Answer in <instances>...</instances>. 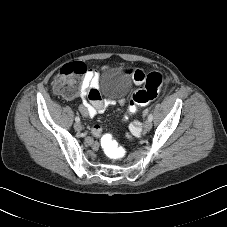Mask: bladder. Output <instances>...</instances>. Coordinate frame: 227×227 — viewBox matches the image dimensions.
Returning <instances> with one entry per match:
<instances>
[{"instance_id": "obj_1", "label": "bladder", "mask_w": 227, "mask_h": 227, "mask_svg": "<svg viewBox=\"0 0 227 227\" xmlns=\"http://www.w3.org/2000/svg\"><path fill=\"white\" fill-rule=\"evenodd\" d=\"M106 86L113 87V92L116 97L121 98L124 97L129 90V83L124 75V73H117L114 75L108 76L100 85V88L103 89Z\"/></svg>"}]
</instances>
